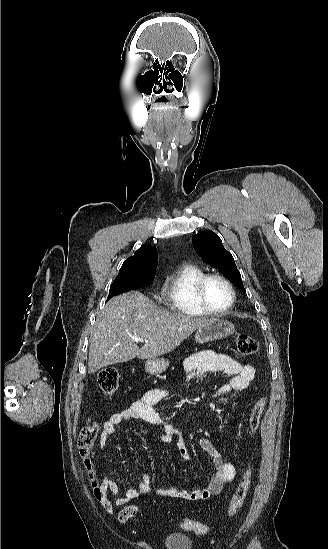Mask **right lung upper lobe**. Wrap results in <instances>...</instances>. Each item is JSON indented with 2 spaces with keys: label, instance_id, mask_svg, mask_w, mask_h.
Instances as JSON below:
<instances>
[{
  "label": "right lung upper lobe",
  "instance_id": "1",
  "mask_svg": "<svg viewBox=\"0 0 328 549\" xmlns=\"http://www.w3.org/2000/svg\"><path fill=\"white\" fill-rule=\"evenodd\" d=\"M158 254L155 246L143 245L133 256H130L122 265L120 271H124L145 263L157 264Z\"/></svg>",
  "mask_w": 328,
  "mask_h": 549
}]
</instances>
